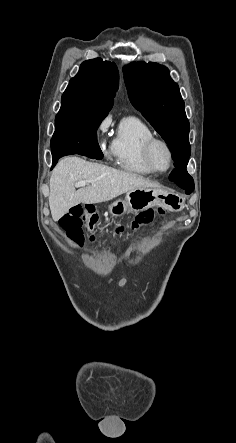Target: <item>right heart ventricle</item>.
<instances>
[{
  "label": "right heart ventricle",
  "instance_id": "right-heart-ventricle-1",
  "mask_svg": "<svg viewBox=\"0 0 236 443\" xmlns=\"http://www.w3.org/2000/svg\"><path fill=\"white\" fill-rule=\"evenodd\" d=\"M152 137L154 133L151 128L138 117L123 118L112 142L115 165L135 174H152L143 156L144 144Z\"/></svg>",
  "mask_w": 236,
  "mask_h": 443
}]
</instances>
